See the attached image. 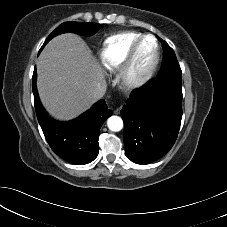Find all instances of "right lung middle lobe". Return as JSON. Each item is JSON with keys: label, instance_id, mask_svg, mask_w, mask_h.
Instances as JSON below:
<instances>
[{"label": "right lung middle lobe", "instance_id": "right-lung-middle-lobe-1", "mask_svg": "<svg viewBox=\"0 0 227 227\" xmlns=\"http://www.w3.org/2000/svg\"><path fill=\"white\" fill-rule=\"evenodd\" d=\"M100 24L97 23H86V22H64L59 27H57L46 39L42 48L55 36L60 35L62 33H76L80 35L90 36L96 33ZM41 48V49H42Z\"/></svg>", "mask_w": 227, "mask_h": 227}]
</instances>
